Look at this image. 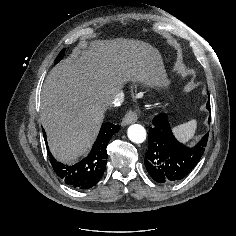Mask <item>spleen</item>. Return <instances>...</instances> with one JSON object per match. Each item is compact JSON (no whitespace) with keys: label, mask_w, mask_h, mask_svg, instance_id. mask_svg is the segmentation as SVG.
<instances>
[{"label":"spleen","mask_w":236,"mask_h":236,"mask_svg":"<svg viewBox=\"0 0 236 236\" xmlns=\"http://www.w3.org/2000/svg\"><path fill=\"white\" fill-rule=\"evenodd\" d=\"M197 121L191 120L185 124H181L173 128L176 137L183 143L190 141L196 132Z\"/></svg>","instance_id":"spleen-1"}]
</instances>
